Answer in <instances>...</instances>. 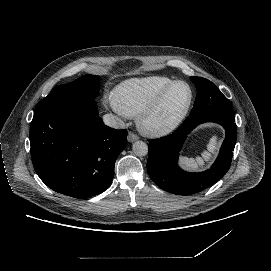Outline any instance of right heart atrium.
<instances>
[{
  "label": "right heart atrium",
  "mask_w": 271,
  "mask_h": 271,
  "mask_svg": "<svg viewBox=\"0 0 271 271\" xmlns=\"http://www.w3.org/2000/svg\"><path fill=\"white\" fill-rule=\"evenodd\" d=\"M109 101L111 103V105L122 115H124L118 101L117 98L115 96H110Z\"/></svg>",
  "instance_id": "1"
}]
</instances>
